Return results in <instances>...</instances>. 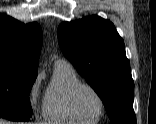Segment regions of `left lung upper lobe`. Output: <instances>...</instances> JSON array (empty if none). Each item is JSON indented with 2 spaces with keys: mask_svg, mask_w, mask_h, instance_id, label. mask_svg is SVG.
I'll use <instances>...</instances> for the list:
<instances>
[{
  "mask_svg": "<svg viewBox=\"0 0 156 124\" xmlns=\"http://www.w3.org/2000/svg\"><path fill=\"white\" fill-rule=\"evenodd\" d=\"M60 48L102 99L111 124H136L134 82L123 39L109 20L93 15L58 27Z\"/></svg>",
  "mask_w": 156,
  "mask_h": 124,
  "instance_id": "1",
  "label": "left lung upper lobe"
}]
</instances>
